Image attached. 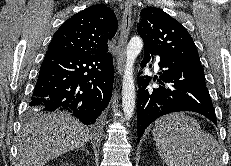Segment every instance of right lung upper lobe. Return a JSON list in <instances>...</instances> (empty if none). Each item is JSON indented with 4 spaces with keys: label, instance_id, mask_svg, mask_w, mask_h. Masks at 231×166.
Here are the masks:
<instances>
[{
    "label": "right lung upper lobe",
    "instance_id": "obj_1",
    "mask_svg": "<svg viewBox=\"0 0 231 166\" xmlns=\"http://www.w3.org/2000/svg\"><path fill=\"white\" fill-rule=\"evenodd\" d=\"M117 18L105 5H93L70 17L55 32L47 52L102 54L117 31Z\"/></svg>",
    "mask_w": 231,
    "mask_h": 166
}]
</instances>
